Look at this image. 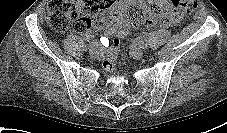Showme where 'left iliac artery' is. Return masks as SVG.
<instances>
[{
	"label": "left iliac artery",
	"mask_w": 227,
	"mask_h": 133,
	"mask_svg": "<svg viewBox=\"0 0 227 133\" xmlns=\"http://www.w3.org/2000/svg\"><path fill=\"white\" fill-rule=\"evenodd\" d=\"M136 45H138L139 47L143 48V49H147L148 45L146 42L144 41H141V40H137V41H134Z\"/></svg>",
	"instance_id": "obj_1"
}]
</instances>
